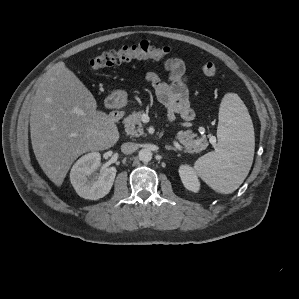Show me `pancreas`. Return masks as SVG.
I'll list each match as a JSON object with an SVG mask.
<instances>
[{
    "label": "pancreas",
    "mask_w": 299,
    "mask_h": 299,
    "mask_svg": "<svg viewBox=\"0 0 299 299\" xmlns=\"http://www.w3.org/2000/svg\"><path fill=\"white\" fill-rule=\"evenodd\" d=\"M142 112L134 111L124 119L125 131L131 136L139 137L144 134L143 124L141 122ZM196 134L192 130L179 131L176 139L181 143L189 153H198L206 149L208 142L206 137L195 139Z\"/></svg>",
    "instance_id": "obj_1"
}]
</instances>
